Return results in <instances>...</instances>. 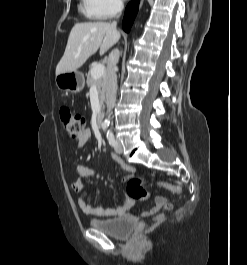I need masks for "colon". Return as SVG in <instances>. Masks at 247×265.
Listing matches in <instances>:
<instances>
[{"mask_svg":"<svg viewBox=\"0 0 247 265\" xmlns=\"http://www.w3.org/2000/svg\"><path fill=\"white\" fill-rule=\"evenodd\" d=\"M60 120L63 128L70 137L77 142H80L85 134V119L82 115L73 112L68 107L60 109ZM163 186L171 189L173 192L180 194L182 191L181 185L161 183ZM125 192L127 196L134 200H146L149 198V192L143 186V179L140 177H131L124 181ZM171 204L165 203L164 208L169 209Z\"/></svg>","mask_w":247,"mask_h":265,"instance_id":"5ec220e1","label":"colon"}]
</instances>
